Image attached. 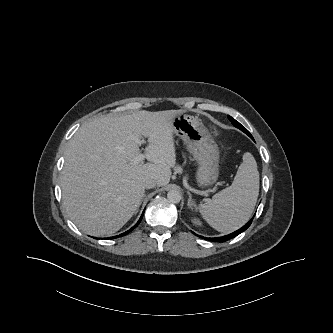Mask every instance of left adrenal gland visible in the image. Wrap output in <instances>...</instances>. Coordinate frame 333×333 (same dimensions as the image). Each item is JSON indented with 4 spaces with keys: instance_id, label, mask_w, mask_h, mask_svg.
Here are the masks:
<instances>
[{
    "instance_id": "1",
    "label": "left adrenal gland",
    "mask_w": 333,
    "mask_h": 333,
    "mask_svg": "<svg viewBox=\"0 0 333 333\" xmlns=\"http://www.w3.org/2000/svg\"><path fill=\"white\" fill-rule=\"evenodd\" d=\"M187 194H188V196H189L187 206H188L189 208H193V206H196V203H195V201L192 199V195H191V193H190L189 191H187Z\"/></svg>"
}]
</instances>
